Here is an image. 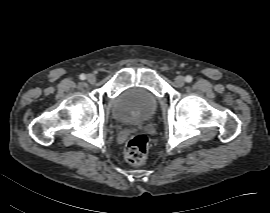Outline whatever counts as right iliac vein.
<instances>
[{
    "mask_svg": "<svg viewBox=\"0 0 270 213\" xmlns=\"http://www.w3.org/2000/svg\"><path fill=\"white\" fill-rule=\"evenodd\" d=\"M87 80L90 84H94L96 82V76L94 74H89Z\"/></svg>",
    "mask_w": 270,
    "mask_h": 213,
    "instance_id": "1",
    "label": "right iliac vein"
}]
</instances>
